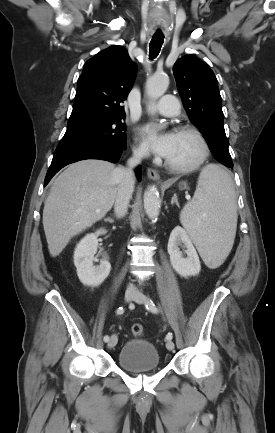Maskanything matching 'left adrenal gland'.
Segmentation results:
<instances>
[{
    "instance_id": "a2214340",
    "label": "left adrenal gland",
    "mask_w": 275,
    "mask_h": 433,
    "mask_svg": "<svg viewBox=\"0 0 275 433\" xmlns=\"http://www.w3.org/2000/svg\"><path fill=\"white\" fill-rule=\"evenodd\" d=\"M174 203H175L177 206H179V204H178V198H177V195H176V194H174V196H173L172 199H171V204L173 205Z\"/></svg>"
}]
</instances>
